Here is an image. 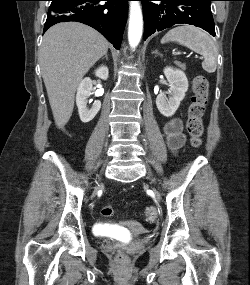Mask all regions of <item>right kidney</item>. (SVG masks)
<instances>
[{"label": "right kidney", "instance_id": "1", "mask_svg": "<svg viewBox=\"0 0 250 285\" xmlns=\"http://www.w3.org/2000/svg\"><path fill=\"white\" fill-rule=\"evenodd\" d=\"M95 75L103 80H107L109 71L106 66H100ZM93 94L92 80L90 78L83 79L77 89L76 104L78 107L79 116L82 122L87 123L91 121L101 108V102L95 100L91 108L87 107L88 98Z\"/></svg>", "mask_w": 250, "mask_h": 285}]
</instances>
